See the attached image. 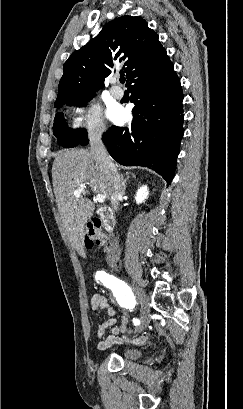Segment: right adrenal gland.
<instances>
[{
  "mask_svg": "<svg viewBox=\"0 0 243 409\" xmlns=\"http://www.w3.org/2000/svg\"><path fill=\"white\" fill-rule=\"evenodd\" d=\"M129 175L127 176V178L124 179V176L121 175V186H122V191L125 192L126 188H127V181L129 180ZM133 177H135L133 175Z\"/></svg>",
  "mask_w": 243,
  "mask_h": 409,
  "instance_id": "1",
  "label": "right adrenal gland"
}]
</instances>
